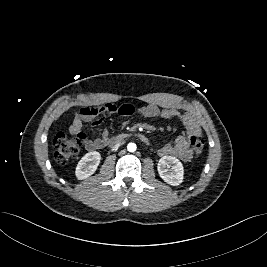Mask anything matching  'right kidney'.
I'll list each match as a JSON object with an SVG mask.
<instances>
[{
  "label": "right kidney",
  "instance_id": "obj_1",
  "mask_svg": "<svg viewBox=\"0 0 267 267\" xmlns=\"http://www.w3.org/2000/svg\"><path fill=\"white\" fill-rule=\"evenodd\" d=\"M100 159L101 155L97 151L85 154L76 167L75 175L77 179L84 180L94 174L100 163Z\"/></svg>",
  "mask_w": 267,
  "mask_h": 267
}]
</instances>
